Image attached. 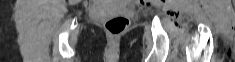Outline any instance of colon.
Here are the masks:
<instances>
[{"instance_id": "5ec220e1", "label": "colon", "mask_w": 235, "mask_h": 62, "mask_svg": "<svg viewBox=\"0 0 235 62\" xmlns=\"http://www.w3.org/2000/svg\"><path fill=\"white\" fill-rule=\"evenodd\" d=\"M128 25L129 19L125 15L111 17L104 24L106 31L112 36H119L124 33Z\"/></svg>"}]
</instances>
